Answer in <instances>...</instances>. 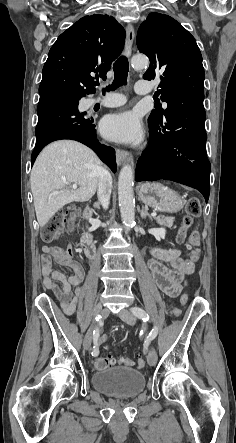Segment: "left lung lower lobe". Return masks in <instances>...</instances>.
<instances>
[{
  "mask_svg": "<svg viewBox=\"0 0 236 443\" xmlns=\"http://www.w3.org/2000/svg\"><path fill=\"white\" fill-rule=\"evenodd\" d=\"M203 102L184 101L167 109L161 122L148 119L150 146L136 166V181L172 180L210 193Z\"/></svg>",
  "mask_w": 236,
  "mask_h": 443,
  "instance_id": "left-lung-lower-lobe-1",
  "label": "left lung lower lobe"
}]
</instances>
